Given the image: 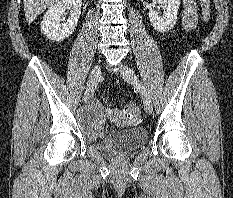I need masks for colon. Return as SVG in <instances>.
Masks as SVG:
<instances>
[{"label": "colon", "instance_id": "1", "mask_svg": "<svg viewBox=\"0 0 233 198\" xmlns=\"http://www.w3.org/2000/svg\"><path fill=\"white\" fill-rule=\"evenodd\" d=\"M201 18L204 22L209 21L211 16V7L209 0H200ZM124 110L130 118H137L140 113V107L137 103L129 102L125 105Z\"/></svg>", "mask_w": 233, "mask_h": 198}]
</instances>
